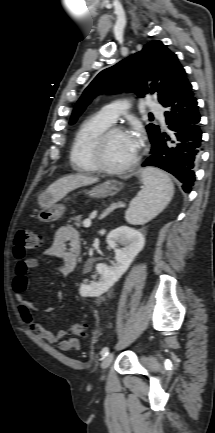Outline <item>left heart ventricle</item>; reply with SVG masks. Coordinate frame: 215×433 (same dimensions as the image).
<instances>
[{
    "label": "left heart ventricle",
    "instance_id": "1",
    "mask_svg": "<svg viewBox=\"0 0 215 433\" xmlns=\"http://www.w3.org/2000/svg\"><path fill=\"white\" fill-rule=\"evenodd\" d=\"M138 147L127 133H115L107 141L104 159L111 167H121L133 160Z\"/></svg>",
    "mask_w": 215,
    "mask_h": 433
}]
</instances>
